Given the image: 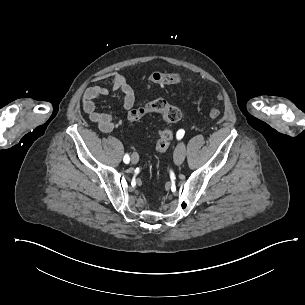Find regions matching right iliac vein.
<instances>
[{
    "label": "right iliac vein",
    "mask_w": 305,
    "mask_h": 305,
    "mask_svg": "<svg viewBox=\"0 0 305 305\" xmlns=\"http://www.w3.org/2000/svg\"><path fill=\"white\" fill-rule=\"evenodd\" d=\"M131 162L132 164H137L139 162V156L136 153L131 154Z\"/></svg>",
    "instance_id": "right-iliac-vein-1"
}]
</instances>
